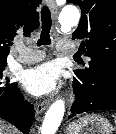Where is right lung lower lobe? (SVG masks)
<instances>
[{
	"label": "right lung lower lobe",
	"mask_w": 116,
	"mask_h": 134,
	"mask_svg": "<svg viewBox=\"0 0 116 134\" xmlns=\"http://www.w3.org/2000/svg\"><path fill=\"white\" fill-rule=\"evenodd\" d=\"M23 99L18 90L10 101L0 102V118L15 125L23 134H28L34 118V108Z\"/></svg>",
	"instance_id": "right-lung-lower-lobe-1"
}]
</instances>
